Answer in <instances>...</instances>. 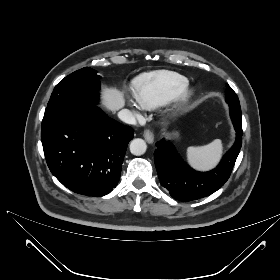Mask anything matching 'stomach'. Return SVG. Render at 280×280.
Here are the masks:
<instances>
[{"label":"stomach","mask_w":280,"mask_h":280,"mask_svg":"<svg viewBox=\"0 0 280 280\" xmlns=\"http://www.w3.org/2000/svg\"><path fill=\"white\" fill-rule=\"evenodd\" d=\"M175 136L178 137V134L176 133Z\"/></svg>","instance_id":"obj_1"}]
</instances>
